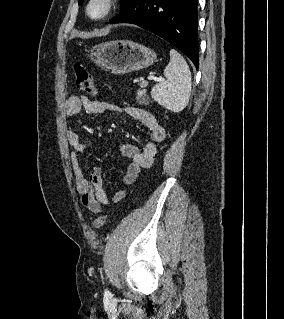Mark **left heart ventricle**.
I'll list each match as a JSON object with an SVG mask.
<instances>
[{
    "mask_svg": "<svg viewBox=\"0 0 284 319\" xmlns=\"http://www.w3.org/2000/svg\"><path fill=\"white\" fill-rule=\"evenodd\" d=\"M102 4L101 3H95L92 7H91V13L93 14V15H98V14H100L101 13V11H102Z\"/></svg>",
    "mask_w": 284,
    "mask_h": 319,
    "instance_id": "left-heart-ventricle-1",
    "label": "left heart ventricle"
}]
</instances>
